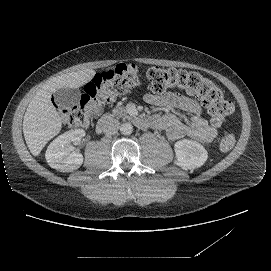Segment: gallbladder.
Wrapping results in <instances>:
<instances>
[{"label":"gallbladder","mask_w":271,"mask_h":271,"mask_svg":"<svg viewBox=\"0 0 271 271\" xmlns=\"http://www.w3.org/2000/svg\"><path fill=\"white\" fill-rule=\"evenodd\" d=\"M55 100L65 111H74L81 104V94L74 87H65L55 92Z\"/></svg>","instance_id":"bac80fb5"}]
</instances>
